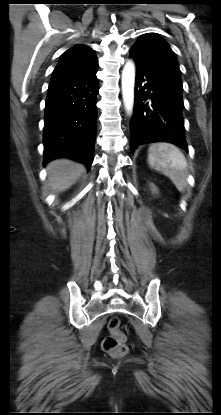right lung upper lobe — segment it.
<instances>
[{"instance_id": "cb5924a9", "label": "right lung upper lobe", "mask_w": 221, "mask_h": 415, "mask_svg": "<svg viewBox=\"0 0 221 415\" xmlns=\"http://www.w3.org/2000/svg\"><path fill=\"white\" fill-rule=\"evenodd\" d=\"M98 66L94 51L85 45H75L68 49L60 58L53 75L69 74Z\"/></svg>"}]
</instances>
